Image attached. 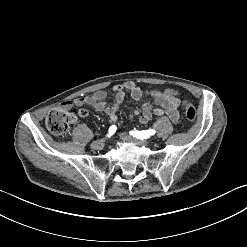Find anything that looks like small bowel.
Listing matches in <instances>:
<instances>
[{
	"label": "small bowel",
	"instance_id": "small-bowel-1",
	"mask_svg": "<svg viewBox=\"0 0 247 247\" xmlns=\"http://www.w3.org/2000/svg\"><path fill=\"white\" fill-rule=\"evenodd\" d=\"M113 89L115 91V99L112 104H108L107 93L104 90H97L90 95L66 101L62 104V107L69 109L73 106H90L99 112L105 113L112 122H116V112L123 103L127 93H129L131 98L135 101L141 100L143 95L146 94L155 101L157 106H153L151 103H145L142 107V111L135 110L131 113V118L139 117L141 123H148L154 115L160 116L165 113L172 122L177 123L179 120L178 109L182 105V100L179 91L176 89L151 87L144 91L132 81L117 84ZM79 116L81 118L88 116V110L84 108L79 109Z\"/></svg>",
	"mask_w": 247,
	"mask_h": 247
}]
</instances>
